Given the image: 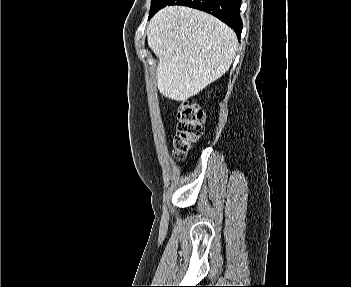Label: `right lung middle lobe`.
I'll use <instances>...</instances> for the list:
<instances>
[{"instance_id":"right-lung-middle-lobe-1","label":"right lung middle lobe","mask_w":351,"mask_h":287,"mask_svg":"<svg viewBox=\"0 0 351 287\" xmlns=\"http://www.w3.org/2000/svg\"><path fill=\"white\" fill-rule=\"evenodd\" d=\"M161 0H152L150 12L157 6Z\"/></svg>"}]
</instances>
